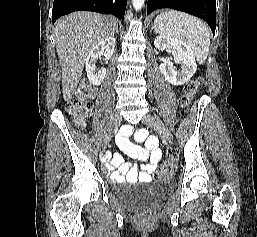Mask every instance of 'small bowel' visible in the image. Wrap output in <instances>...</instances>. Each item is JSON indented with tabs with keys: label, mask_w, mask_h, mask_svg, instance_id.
Returning a JSON list of instances; mask_svg holds the SVG:
<instances>
[{
	"label": "small bowel",
	"mask_w": 257,
	"mask_h": 237,
	"mask_svg": "<svg viewBox=\"0 0 257 237\" xmlns=\"http://www.w3.org/2000/svg\"><path fill=\"white\" fill-rule=\"evenodd\" d=\"M129 135L130 130L127 127L123 128L116 138L117 143L129 156L139 160H148V162L138 168L125 162L120 153H114L109 156L108 176L117 183H123L125 180L148 182L162 158V152L158 148V140L156 137L148 136L144 130L136 132L134 142L129 140ZM142 142L144 143L143 147L138 145Z\"/></svg>",
	"instance_id": "1"
}]
</instances>
